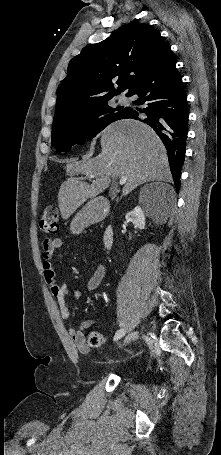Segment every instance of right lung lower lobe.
Listing matches in <instances>:
<instances>
[{
	"instance_id": "1",
	"label": "right lung lower lobe",
	"mask_w": 221,
	"mask_h": 455,
	"mask_svg": "<svg viewBox=\"0 0 221 455\" xmlns=\"http://www.w3.org/2000/svg\"><path fill=\"white\" fill-rule=\"evenodd\" d=\"M138 95L136 104H145L143 110L129 108L122 119L133 118L150 125L163 141L170 170L177 189L180 188L181 167L185 158L188 133L187 95L176 68V57L167 50L156 65L142 78L129 95Z\"/></svg>"
}]
</instances>
